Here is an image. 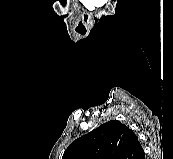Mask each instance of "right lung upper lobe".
I'll return each instance as SVG.
<instances>
[{
	"label": "right lung upper lobe",
	"instance_id": "obj_1",
	"mask_svg": "<svg viewBox=\"0 0 173 159\" xmlns=\"http://www.w3.org/2000/svg\"><path fill=\"white\" fill-rule=\"evenodd\" d=\"M144 156L134 132L112 120L72 142L62 159H143Z\"/></svg>",
	"mask_w": 173,
	"mask_h": 159
}]
</instances>
